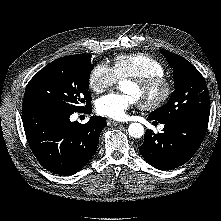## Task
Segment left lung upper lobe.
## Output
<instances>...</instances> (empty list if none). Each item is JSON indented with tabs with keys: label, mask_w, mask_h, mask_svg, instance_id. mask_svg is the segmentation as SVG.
Returning a JSON list of instances; mask_svg holds the SVG:
<instances>
[{
	"label": "left lung upper lobe",
	"mask_w": 221,
	"mask_h": 221,
	"mask_svg": "<svg viewBox=\"0 0 221 221\" xmlns=\"http://www.w3.org/2000/svg\"><path fill=\"white\" fill-rule=\"evenodd\" d=\"M174 69V88L167 104L151 112L157 121L170 122L190 119L208 123L210 99L201 73L183 57L160 50Z\"/></svg>",
	"instance_id": "5c2ea615"
}]
</instances>
